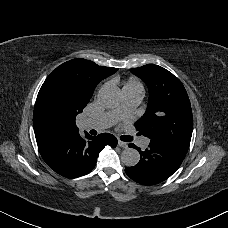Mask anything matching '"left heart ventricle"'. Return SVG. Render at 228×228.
<instances>
[{
    "instance_id": "obj_1",
    "label": "left heart ventricle",
    "mask_w": 228,
    "mask_h": 228,
    "mask_svg": "<svg viewBox=\"0 0 228 228\" xmlns=\"http://www.w3.org/2000/svg\"><path fill=\"white\" fill-rule=\"evenodd\" d=\"M122 115H123V112H116V114H115V120L120 119L122 117Z\"/></svg>"
}]
</instances>
